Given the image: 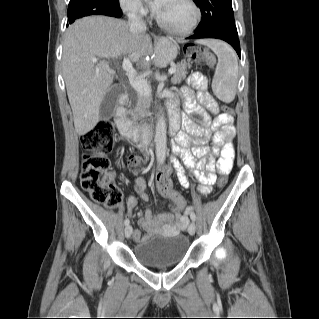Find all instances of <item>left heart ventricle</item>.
<instances>
[{
	"mask_svg": "<svg viewBox=\"0 0 319 319\" xmlns=\"http://www.w3.org/2000/svg\"><path fill=\"white\" fill-rule=\"evenodd\" d=\"M157 15L173 26H184L192 18V10L184 0H165Z\"/></svg>",
	"mask_w": 319,
	"mask_h": 319,
	"instance_id": "1",
	"label": "left heart ventricle"
}]
</instances>
